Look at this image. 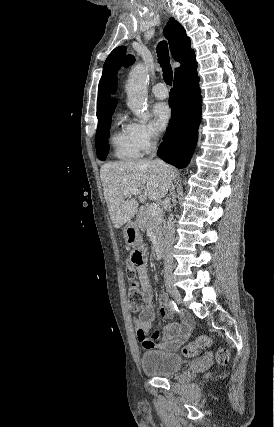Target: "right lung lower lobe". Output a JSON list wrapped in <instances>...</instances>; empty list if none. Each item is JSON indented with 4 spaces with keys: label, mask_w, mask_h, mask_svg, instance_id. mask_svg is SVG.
<instances>
[{
    "label": "right lung lower lobe",
    "mask_w": 274,
    "mask_h": 427,
    "mask_svg": "<svg viewBox=\"0 0 274 427\" xmlns=\"http://www.w3.org/2000/svg\"><path fill=\"white\" fill-rule=\"evenodd\" d=\"M197 63L174 77L169 104V127L158 149V156L177 168L186 167L194 151L201 116V96Z\"/></svg>",
    "instance_id": "1"
}]
</instances>
